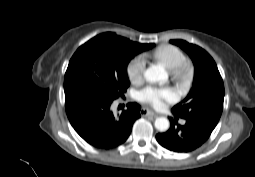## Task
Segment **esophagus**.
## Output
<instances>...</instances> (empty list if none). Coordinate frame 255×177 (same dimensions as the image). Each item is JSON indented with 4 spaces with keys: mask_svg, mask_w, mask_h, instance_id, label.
<instances>
[{
    "mask_svg": "<svg viewBox=\"0 0 255 177\" xmlns=\"http://www.w3.org/2000/svg\"><path fill=\"white\" fill-rule=\"evenodd\" d=\"M141 114L143 115V116H152V117H158L160 114L159 113H157V112H154V111H152V110H149V109H145V108H143L142 110H141Z\"/></svg>",
    "mask_w": 255,
    "mask_h": 177,
    "instance_id": "1",
    "label": "esophagus"
}]
</instances>
